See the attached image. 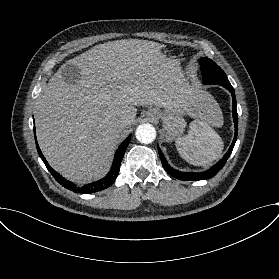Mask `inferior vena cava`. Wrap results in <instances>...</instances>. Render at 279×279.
Returning <instances> with one entry per match:
<instances>
[{
	"label": "inferior vena cava",
	"instance_id": "inferior-vena-cava-1",
	"mask_svg": "<svg viewBox=\"0 0 279 279\" xmlns=\"http://www.w3.org/2000/svg\"><path fill=\"white\" fill-rule=\"evenodd\" d=\"M130 125V121L127 119L122 120L117 126V132H120L123 128Z\"/></svg>",
	"mask_w": 279,
	"mask_h": 279
}]
</instances>
